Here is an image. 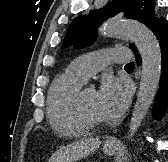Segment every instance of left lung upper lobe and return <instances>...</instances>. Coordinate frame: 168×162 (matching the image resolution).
Returning a JSON list of instances; mask_svg holds the SVG:
<instances>
[{
    "label": "left lung upper lobe",
    "mask_w": 168,
    "mask_h": 162,
    "mask_svg": "<svg viewBox=\"0 0 168 162\" xmlns=\"http://www.w3.org/2000/svg\"><path fill=\"white\" fill-rule=\"evenodd\" d=\"M121 11L125 12L126 18L135 19L148 27L159 19L153 0H115L88 15L75 18L68 27L61 49L71 45L75 48L91 45L101 23ZM130 47L133 51L136 50L133 44Z\"/></svg>",
    "instance_id": "left-lung-upper-lobe-1"
}]
</instances>
